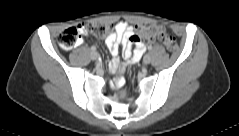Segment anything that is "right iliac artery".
Here are the masks:
<instances>
[{"mask_svg": "<svg viewBox=\"0 0 239 136\" xmlns=\"http://www.w3.org/2000/svg\"><path fill=\"white\" fill-rule=\"evenodd\" d=\"M91 50H92V51H95V50H96V47H95V46H92V47H91Z\"/></svg>", "mask_w": 239, "mask_h": 136, "instance_id": "obj_1", "label": "right iliac artery"}]
</instances>
